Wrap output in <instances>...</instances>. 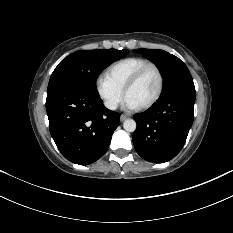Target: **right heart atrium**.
Wrapping results in <instances>:
<instances>
[{
	"label": "right heart atrium",
	"instance_id": "right-heart-atrium-1",
	"mask_svg": "<svg viewBox=\"0 0 233 233\" xmlns=\"http://www.w3.org/2000/svg\"><path fill=\"white\" fill-rule=\"evenodd\" d=\"M95 88L104 106L109 110H115L123 99V90L117 87L106 76L97 77Z\"/></svg>",
	"mask_w": 233,
	"mask_h": 233
}]
</instances>
